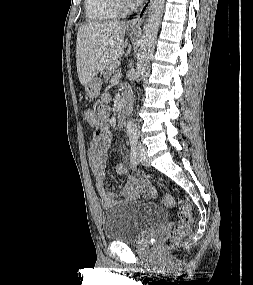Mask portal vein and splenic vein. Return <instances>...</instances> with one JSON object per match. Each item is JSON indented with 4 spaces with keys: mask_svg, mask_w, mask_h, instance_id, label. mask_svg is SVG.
I'll return each instance as SVG.
<instances>
[{
    "mask_svg": "<svg viewBox=\"0 0 253 285\" xmlns=\"http://www.w3.org/2000/svg\"><path fill=\"white\" fill-rule=\"evenodd\" d=\"M121 77H122V74H121V73L115 74V75L113 76V78L111 79V83H112V84L117 83V82L120 80Z\"/></svg>",
    "mask_w": 253,
    "mask_h": 285,
    "instance_id": "18ae733b",
    "label": "portal vein and splenic vein"
}]
</instances>
